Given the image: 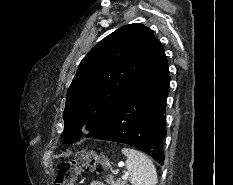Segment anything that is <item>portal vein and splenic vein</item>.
Returning a JSON list of instances; mask_svg holds the SVG:
<instances>
[{"instance_id": "18ae733b", "label": "portal vein and splenic vein", "mask_w": 233, "mask_h": 185, "mask_svg": "<svg viewBox=\"0 0 233 185\" xmlns=\"http://www.w3.org/2000/svg\"><path fill=\"white\" fill-rule=\"evenodd\" d=\"M129 175H130V173H129V172H126V173L122 176V179H127Z\"/></svg>"}]
</instances>
